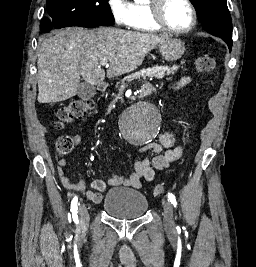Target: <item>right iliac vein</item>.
<instances>
[{
    "label": "right iliac vein",
    "mask_w": 256,
    "mask_h": 267,
    "mask_svg": "<svg viewBox=\"0 0 256 267\" xmlns=\"http://www.w3.org/2000/svg\"><path fill=\"white\" fill-rule=\"evenodd\" d=\"M80 228H85L89 223V212L85 205L79 207Z\"/></svg>",
    "instance_id": "63e3f726"
}]
</instances>
